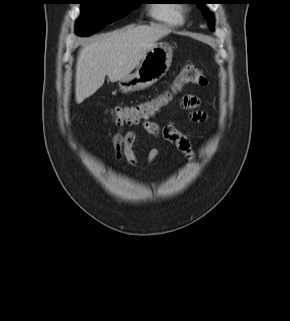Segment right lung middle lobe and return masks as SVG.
I'll return each mask as SVG.
<instances>
[{"label":"right lung middle lobe","instance_id":"1","mask_svg":"<svg viewBox=\"0 0 290 321\" xmlns=\"http://www.w3.org/2000/svg\"><path fill=\"white\" fill-rule=\"evenodd\" d=\"M81 17L77 20L76 34L90 36L106 24L124 17L140 3L138 0H79Z\"/></svg>","mask_w":290,"mask_h":321}]
</instances>
